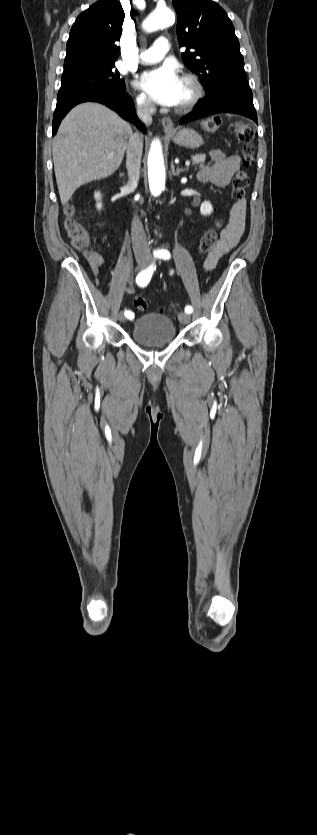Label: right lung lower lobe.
<instances>
[{"mask_svg": "<svg viewBox=\"0 0 317 835\" xmlns=\"http://www.w3.org/2000/svg\"><path fill=\"white\" fill-rule=\"evenodd\" d=\"M87 101L99 102L108 106L112 110L116 111L125 120L134 122L136 126L143 133H145V127L136 117L133 100L126 93V91L113 87H99L79 91L58 99L53 115L52 135L56 134L61 120L71 108L79 103Z\"/></svg>", "mask_w": 317, "mask_h": 835, "instance_id": "obj_1", "label": "right lung lower lobe"}]
</instances>
